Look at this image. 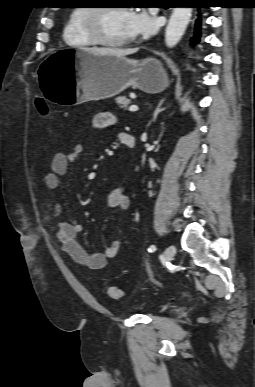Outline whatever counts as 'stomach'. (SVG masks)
Masks as SVG:
<instances>
[{
    "label": "stomach",
    "mask_w": 255,
    "mask_h": 387,
    "mask_svg": "<svg viewBox=\"0 0 255 387\" xmlns=\"http://www.w3.org/2000/svg\"><path fill=\"white\" fill-rule=\"evenodd\" d=\"M38 66L35 82H40L50 104L61 108H78L79 103L114 96L129 86L159 93L169 85L155 58L96 55L76 46H59L46 59H38Z\"/></svg>",
    "instance_id": "1"
}]
</instances>
